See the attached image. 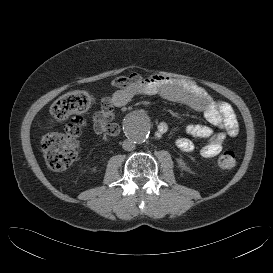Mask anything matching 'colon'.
Wrapping results in <instances>:
<instances>
[{
    "label": "colon",
    "mask_w": 273,
    "mask_h": 273,
    "mask_svg": "<svg viewBox=\"0 0 273 273\" xmlns=\"http://www.w3.org/2000/svg\"><path fill=\"white\" fill-rule=\"evenodd\" d=\"M93 102L94 98L90 93L71 91L55 102L51 113L58 120L65 119L85 111ZM42 149L47 165L53 170L65 169L77 155V146L68 136H49L43 140ZM234 163L235 154L232 151L223 152L218 159L221 169H230Z\"/></svg>",
    "instance_id": "obj_1"
}]
</instances>
